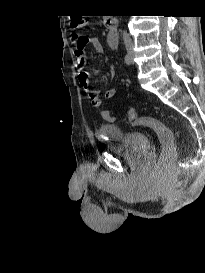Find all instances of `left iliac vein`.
<instances>
[{
  "label": "left iliac vein",
  "mask_w": 205,
  "mask_h": 273,
  "mask_svg": "<svg viewBox=\"0 0 205 273\" xmlns=\"http://www.w3.org/2000/svg\"><path fill=\"white\" fill-rule=\"evenodd\" d=\"M130 56H131V62H133V54L131 53Z\"/></svg>",
  "instance_id": "obj_1"
}]
</instances>
